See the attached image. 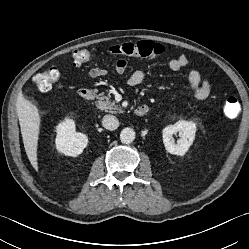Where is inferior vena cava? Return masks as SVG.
<instances>
[{
	"label": "inferior vena cava",
	"mask_w": 249,
	"mask_h": 249,
	"mask_svg": "<svg viewBox=\"0 0 249 249\" xmlns=\"http://www.w3.org/2000/svg\"><path fill=\"white\" fill-rule=\"evenodd\" d=\"M103 126L108 130H116L119 126L118 119L113 115H105L103 117Z\"/></svg>",
	"instance_id": "inferior-vena-cava-1"
}]
</instances>
